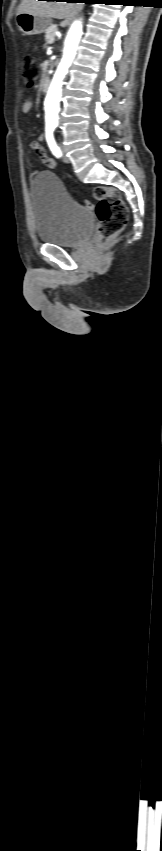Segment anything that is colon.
Listing matches in <instances>:
<instances>
[{"instance_id": "5ec220e1", "label": "colon", "mask_w": 162, "mask_h": 851, "mask_svg": "<svg viewBox=\"0 0 162 851\" xmlns=\"http://www.w3.org/2000/svg\"><path fill=\"white\" fill-rule=\"evenodd\" d=\"M23 69L26 85L33 86L38 76L37 64L31 57L26 56ZM93 196L97 200L96 205L88 201L86 205L95 208L99 219L97 245L102 247L124 229L128 221V209L119 191L113 187L97 186Z\"/></svg>"}]
</instances>
